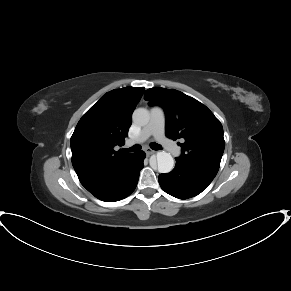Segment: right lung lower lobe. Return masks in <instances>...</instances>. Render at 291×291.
Wrapping results in <instances>:
<instances>
[{
    "label": "right lung lower lobe",
    "instance_id": "1",
    "mask_svg": "<svg viewBox=\"0 0 291 291\" xmlns=\"http://www.w3.org/2000/svg\"><path fill=\"white\" fill-rule=\"evenodd\" d=\"M144 158L143 151L133 153L115 167L80 177L79 180L91 194L102 201L121 200L136 188Z\"/></svg>",
    "mask_w": 291,
    "mask_h": 291
}]
</instances>
